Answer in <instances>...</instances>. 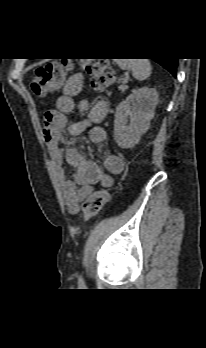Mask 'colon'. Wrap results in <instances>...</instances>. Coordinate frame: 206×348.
<instances>
[{
    "label": "colon",
    "instance_id": "obj_1",
    "mask_svg": "<svg viewBox=\"0 0 206 348\" xmlns=\"http://www.w3.org/2000/svg\"><path fill=\"white\" fill-rule=\"evenodd\" d=\"M67 67L68 62L60 60L36 68L32 74L31 87L33 92L38 96L55 92L65 78ZM82 67L91 77L93 88L97 90L103 91L115 81V72L104 59H85L82 62ZM109 200L108 190L99 189L93 192L82 205L84 220L87 221L97 216Z\"/></svg>",
    "mask_w": 206,
    "mask_h": 348
}]
</instances>
